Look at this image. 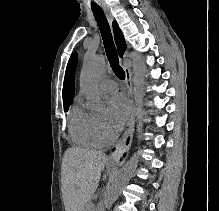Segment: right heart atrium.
<instances>
[{"mask_svg": "<svg viewBox=\"0 0 219 211\" xmlns=\"http://www.w3.org/2000/svg\"><path fill=\"white\" fill-rule=\"evenodd\" d=\"M98 127L103 144H111L115 139V132L111 125L105 121H99Z\"/></svg>", "mask_w": 219, "mask_h": 211, "instance_id": "1", "label": "right heart atrium"}]
</instances>
